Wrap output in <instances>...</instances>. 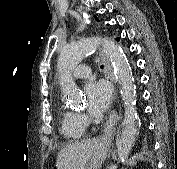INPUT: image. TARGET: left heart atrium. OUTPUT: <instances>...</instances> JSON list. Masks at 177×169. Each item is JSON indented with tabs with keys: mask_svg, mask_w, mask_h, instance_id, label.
Listing matches in <instances>:
<instances>
[{
	"mask_svg": "<svg viewBox=\"0 0 177 169\" xmlns=\"http://www.w3.org/2000/svg\"><path fill=\"white\" fill-rule=\"evenodd\" d=\"M91 116L102 115L110 105L111 89L105 81H89L84 88Z\"/></svg>",
	"mask_w": 177,
	"mask_h": 169,
	"instance_id": "obj_1",
	"label": "left heart atrium"
}]
</instances>
